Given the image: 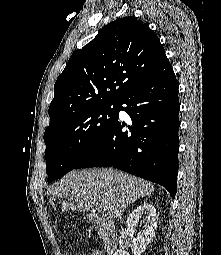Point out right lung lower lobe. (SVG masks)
<instances>
[{
	"label": "right lung lower lobe",
	"instance_id": "1",
	"mask_svg": "<svg viewBox=\"0 0 221 255\" xmlns=\"http://www.w3.org/2000/svg\"><path fill=\"white\" fill-rule=\"evenodd\" d=\"M131 118L119 116L75 167H114L165 187L175 198L179 150L178 85L167 57L119 102ZM124 105V107H122Z\"/></svg>",
	"mask_w": 221,
	"mask_h": 255
}]
</instances>
